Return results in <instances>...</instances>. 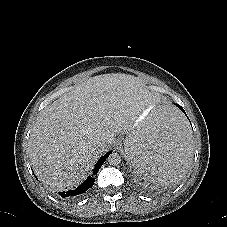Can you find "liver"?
Here are the masks:
<instances>
[{
  "label": "liver",
  "instance_id": "6515ba94",
  "mask_svg": "<svg viewBox=\"0 0 227 227\" xmlns=\"http://www.w3.org/2000/svg\"><path fill=\"white\" fill-rule=\"evenodd\" d=\"M152 106L150 93L137 77L115 73L89 78L37 117L29 142L35 174L53 191L77 187L116 135L127 133ZM97 141L104 146L95 149Z\"/></svg>",
  "mask_w": 227,
  "mask_h": 227
}]
</instances>
